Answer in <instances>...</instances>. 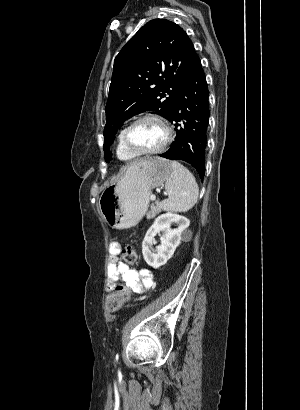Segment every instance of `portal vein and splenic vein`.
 Here are the masks:
<instances>
[{
	"label": "portal vein and splenic vein",
	"mask_w": 300,
	"mask_h": 410,
	"mask_svg": "<svg viewBox=\"0 0 300 410\" xmlns=\"http://www.w3.org/2000/svg\"><path fill=\"white\" fill-rule=\"evenodd\" d=\"M150 199H151V200H155V199H156V196H155L154 194H152V195L150 196Z\"/></svg>",
	"instance_id": "obj_1"
}]
</instances>
